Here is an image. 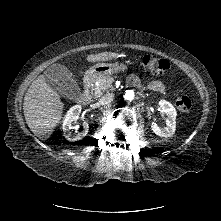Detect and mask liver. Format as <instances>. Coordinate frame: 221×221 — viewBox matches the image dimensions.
I'll use <instances>...</instances> for the list:
<instances>
[{
  "mask_svg": "<svg viewBox=\"0 0 221 221\" xmlns=\"http://www.w3.org/2000/svg\"><path fill=\"white\" fill-rule=\"evenodd\" d=\"M118 56L115 52H102L87 57L89 62L108 61ZM63 103L60 96L40 75L32 82L24 97V116L31 131L40 139L50 137L62 117Z\"/></svg>",
  "mask_w": 221,
  "mask_h": 221,
  "instance_id": "6515ba94",
  "label": "liver"
}]
</instances>
